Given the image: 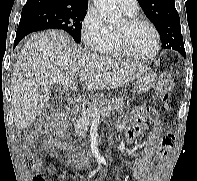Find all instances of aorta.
<instances>
[{"mask_svg": "<svg viewBox=\"0 0 197 181\" xmlns=\"http://www.w3.org/2000/svg\"><path fill=\"white\" fill-rule=\"evenodd\" d=\"M93 2L106 22L118 24L122 21V16L116 5V0H93Z\"/></svg>", "mask_w": 197, "mask_h": 181, "instance_id": "1", "label": "aorta"}]
</instances>
